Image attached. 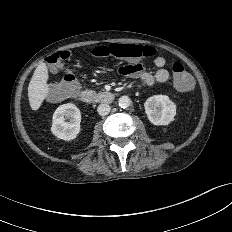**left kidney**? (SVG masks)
<instances>
[{
	"instance_id": "5707ae66",
	"label": "left kidney",
	"mask_w": 232,
	"mask_h": 232,
	"mask_svg": "<svg viewBox=\"0 0 232 232\" xmlns=\"http://www.w3.org/2000/svg\"><path fill=\"white\" fill-rule=\"evenodd\" d=\"M144 107L149 121L154 125H168L176 115V105L167 95L149 97Z\"/></svg>"
}]
</instances>
